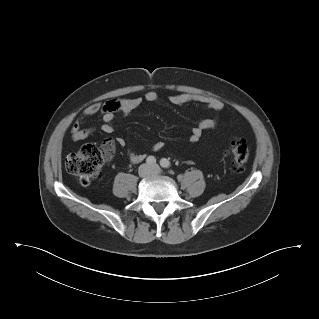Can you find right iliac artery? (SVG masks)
Masks as SVG:
<instances>
[{"label":"right iliac artery","instance_id":"obj_1","mask_svg":"<svg viewBox=\"0 0 319 319\" xmlns=\"http://www.w3.org/2000/svg\"><path fill=\"white\" fill-rule=\"evenodd\" d=\"M146 162H147V164H149V165H153V164L156 163V159H155L154 156H149V157L146 159Z\"/></svg>","mask_w":319,"mask_h":319}]
</instances>
